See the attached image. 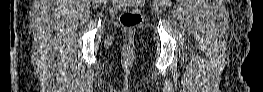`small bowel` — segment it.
Segmentation results:
<instances>
[{
    "instance_id": "1",
    "label": "small bowel",
    "mask_w": 263,
    "mask_h": 92,
    "mask_svg": "<svg viewBox=\"0 0 263 92\" xmlns=\"http://www.w3.org/2000/svg\"><path fill=\"white\" fill-rule=\"evenodd\" d=\"M121 2H124V3H131V4H136L134 1H121Z\"/></svg>"
}]
</instances>
